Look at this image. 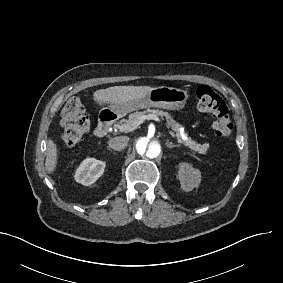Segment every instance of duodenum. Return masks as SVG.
Segmentation results:
<instances>
[{
	"label": "duodenum",
	"instance_id": "duodenum-1",
	"mask_svg": "<svg viewBox=\"0 0 283 283\" xmlns=\"http://www.w3.org/2000/svg\"><path fill=\"white\" fill-rule=\"evenodd\" d=\"M115 116L110 113H104L95 129V135L99 138L105 137L114 123Z\"/></svg>",
	"mask_w": 283,
	"mask_h": 283
}]
</instances>
